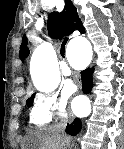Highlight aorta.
<instances>
[{
    "instance_id": "aorta-1",
    "label": "aorta",
    "mask_w": 124,
    "mask_h": 149,
    "mask_svg": "<svg viewBox=\"0 0 124 149\" xmlns=\"http://www.w3.org/2000/svg\"><path fill=\"white\" fill-rule=\"evenodd\" d=\"M70 45L86 55L90 53V43L84 37L73 40ZM31 73L33 84L37 90L48 93L57 88L60 75L54 55L50 50L41 48L37 51ZM90 112V103L88 100H85L81 114L82 116H88Z\"/></svg>"
}]
</instances>
